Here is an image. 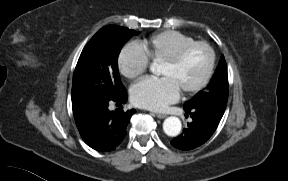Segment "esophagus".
<instances>
[{"mask_svg": "<svg viewBox=\"0 0 288 181\" xmlns=\"http://www.w3.org/2000/svg\"><path fill=\"white\" fill-rule=\"evenodd\" d=\"M154 115L160 119H163L167 116L166 114H162V113H154Z\"/></svg>", "mask_w": 288, "mask_h": 181, "instance_id": "1", "label": "esophagus"}]
</instances>
